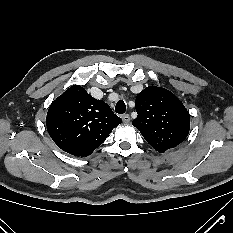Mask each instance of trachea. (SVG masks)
<instances>
[{
	"label": "trachea",
	"mask_w": 233,
	"mask_h": 233,
	"mask_svg": "<svg viewBox=\"0 0 233 233\" xmlns=\"http://www.w3.org/2000/svg\"><path fill=\"white\" fill-rule=\"evenodd\" d=\"M115 111L118 114H123L126 112V105L123 100H119L115 106Z\"/></svg>",
	"instance_id": "trachea-1"
}]
</instances>
